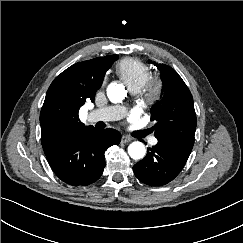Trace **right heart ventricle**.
<instances>
[{"label": "right heart ventricle", "mask_w": 243, "mask_h": 243, "mask_svg": "<svg viewBox=\"0 0 243 243\" xmlns=\"http://www.w3.org/2000/svg\"><path fill=\"white\" fill-rule=\"evenodd\" d=\"M116 71L130 90L140 91L151 78L150 68L134 58L122 59L117 64Z\"/></svg>", "instance_id": "right-heart-ventricle-1"}]
</instances>
